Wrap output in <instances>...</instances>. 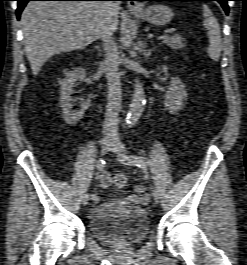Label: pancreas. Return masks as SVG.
Segmentation results:
<instances>
[{"label":"pancreas","mask_w":247,"mask_h":265,"mask_svg":"<svg viewBox=\"0 0 247 265\" xmlns=\"http://www.w3.org/2000/svg\"><path fill=\"white\" fill-rule=\"evenodd\" d=\"M162 43L172 49H182L186 47V42L180 35L166 36Z\"/></svg>","instance_id":"1"}]
</instances>
